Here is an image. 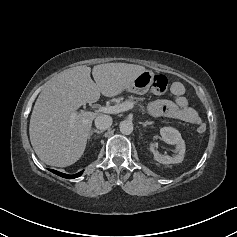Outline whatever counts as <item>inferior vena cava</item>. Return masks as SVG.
I'll return each mask as SVG.
<instances>
[{
  "mask_svg": "<svg viewBox=\"0 0 237 237\" xmlns=\"http://www.w3.org/2000/svg\"><path fill=\"white\" fill-rule=\"evenodd\" d=\"M112 125V117L100 114L95 119V126L100 130H106Z\"/></svg>",
  "mask_w": 237,
  "mask_h": 237,
  "instance_id": "602c4592",
  "label": "inferior vena cava"
}]
</instances>
